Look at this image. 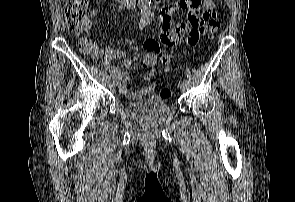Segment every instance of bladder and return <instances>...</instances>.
<instances>
[{
	"instance_id": "1",
	"label": "bladder",
	"mask_w": 295,
	"mask_h": 202,
	"mask_svg": "<svg viewBox=\"0 0 295 202\" xmlns=\"http://www.w3.org/2000/svg\"><path fill=\"white\" fill-rule=\"evenodd\" d=\"M171 112L169 104L160 96H150L125 107V114L131 121L143 125H158L168 118Z\"/></svg>"
}]
</instances>
